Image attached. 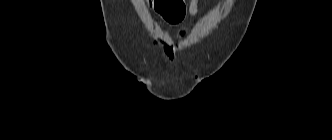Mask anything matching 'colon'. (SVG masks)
Listing matches in <instances>:
<instances>
[{
    "instance_id": "5ec220e1",
    "label": "colon",
    "mask_w": 332,
    "mask_h": 140,
    "mask_svg": "<svg viewBox=\"0 0 332 140\" xmlns=\"http://www.w3.org/2000/svg\"><path fill=\"white\" fill-rule=\"evenodd\" d=\"M149 3L167 21H178L185 14L184 0H149Z\"/></svg>"
}]
</instances>
